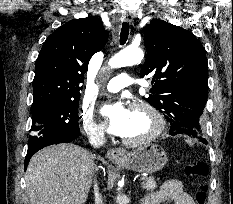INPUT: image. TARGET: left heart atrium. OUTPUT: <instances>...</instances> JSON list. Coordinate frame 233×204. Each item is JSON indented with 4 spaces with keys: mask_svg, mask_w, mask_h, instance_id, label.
<instances>
[{
    "mask_svg": "<svg viewBox=\"0 0 233 204\" xmlns=\"http://www.w3.org/2000/svg\"><path fill=\"white\" fill-rule=\"evenodd\" d=\"M101 115L106 119L107 130L117 136H122L129 121V110L121 102L105 105Z\"/></svg>",
    "mask_w": 233,
    "mask_h": 204,
    "instance_id": "39dd6f15",
    "label": "left heart atrium"
}]
</instances>
